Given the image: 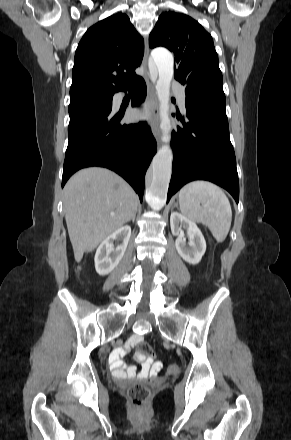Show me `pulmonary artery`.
I'll use <instances>...</instances> for the list:
<instances>
[{
    "mask_svg": "<svg viewBox=\"0 0 291 440\" xmlns=\"http://www.w3.org/2000/svg\"><path fill=\"white\" fill-rule=\"evenodd\" d=\"M172 90L173 93L176 95L181 105V108L184 110L185 91L183 86L179 85L178 83H173Z\"/></svg>",
    "mask_w": 291,
    "mask_h": 440,
    "instance_id": "pulmonary-artery-1",
    "label": "pulmonary artery"
}]
</instances>
